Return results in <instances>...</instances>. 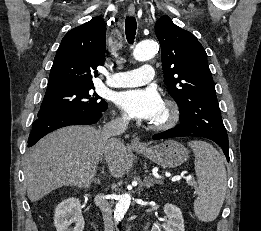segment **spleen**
Instances as JSON below:
<instances>
[{"label":"spleen","instance_id":"1","mask_svg":"<svg viewBox=\"0 0 261 231\" xmlns=\"http://www.w3.org/2000/svg\"><path fill=\"white\" fill-rule=\"evenodd\" d=\"M188 145L195 155V171L198 178V197L194 201L196 216L204 222L215 220L223 205L227 174L223 157L205 141H191Z\"/></svg>","mask_w":261,"mask_h":231}]
</instances>
